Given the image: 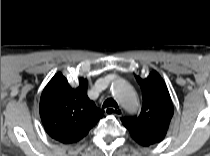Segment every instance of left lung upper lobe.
Segmentation results:
<instances>
[{
  "mask_svg": "<svg viewBox=\"0 0 210 156\" xmlns=\"http://www.w3.org/2000/svg\"><path fill=\"white\" fill-rule=\"evenodd\" d=\"M139 83L143 104L138 116L122 118L131 137L142 146L161 142L173 116V104L161 76L152 71L146 79L135 75Z\"/></svg>",
  "mask_w": 210,
  "mask_h": 156,
  "instance_id": "obj_1",
  "label": "left lung upper lobe"
}]
</instances>
